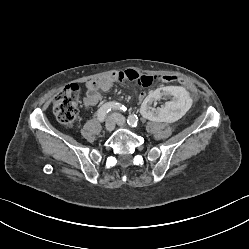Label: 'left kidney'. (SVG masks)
Masks as SVG:
<instances>
[{
    "label": "left kidney",
    "mask_w": 249,
    "mask_h": 249,
    "mask_svg": "<svg viewBox=\"0 0 249 249\" xmlns=\"http://www.w3.org/2000/svg\"><path fill=\"white\" fill-rule=\"evenodd\" d=\"M137 113L147 123L179 121L192 107V100L179 85L159 87L151 93L142 92L138 96ZM161 106H155L159 103Z\"/></svg>",
    "instance_id": "1"
}]
</instances>
